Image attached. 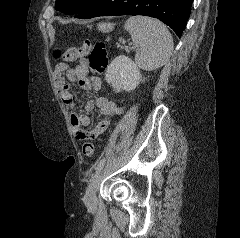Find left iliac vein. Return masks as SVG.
<instances>
[{"mask_svg":"<svg viewBox=\"0 0 240 238\" xmlns=\"http://www.w3.org/2000/svg\"><path fill=\"white\" fill-rule=\"evenodd\" d=\"M104 173L105 170L100 172L87 187L86 193L84 195V203L90 210L95 209L97 206L96 192L99 188Z\"/></svg>","mask_w":240,"mask_h":238,"instance_id":"4c4485c4","label":"left iliac vein"}]
</instances>
